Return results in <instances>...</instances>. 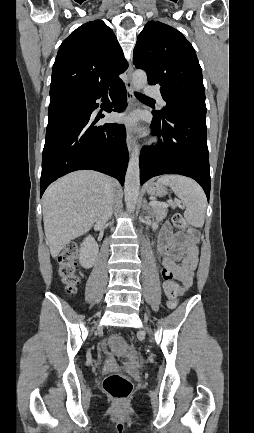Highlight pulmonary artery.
Returning a JSON list of instances; mask_svg holds the SVG:
<instances>
[{
    "instance_id": "pulmonary-artery-1",
    "label": "pulmonary artery",
    "mask_w": 254,
    "mask_h": 433,
    "mask_svg": "<svg viewBox=\"0 0 254 433\" xmlns=\"http://www.w3.org/2000/svg\"><path fill=\"white\" fill-rule=\"evenodd\" d=\"M146 93L159 101L161 107L165 106V101L163 100L158 87H147Z\"/></svg>"
}]
</instances>
